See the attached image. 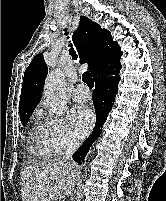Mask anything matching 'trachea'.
Wrapping results in <instances>:
<instances>
[{"label":"trachea","instance_id":"3493384b","mask_svg":"<svg viewBox=\"0 0 166 201\" xmlns=\"http://www.w3.org/2000/svg\"><path fill=\"white\" fill-rule=\"evenodd\" d=\"M66 34H67V32H66ZM70 46H72V45L70 44ZM70 54L72 55L73 59H77V55H76V53H75V51H74L73 48L70 49ZM82 77H83V81L89 87H91V88L94 87V81H93V78H92L90 72H88V71L84 72L83 75H82Z\"/></svg>","mask_w":166,"mask_h":201}]
</instances>
